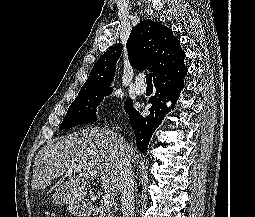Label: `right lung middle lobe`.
<instances>
[{
	"label": "right lung middle lobe",
	"instance_id": "dd1d6c3e",
	"mask_svg": "<svg viewBox=\"0 0 255 217\" xmlns=\"http://www.w3.org/2000/svg\"><path fill=\"white\" fill-rule=\"evenodd\" d=\"M112 91L111 89L94 93H79L70 105L59 129H68L79 124L96 122L97 106L103 101L104 97L110 95ZM124 108L126 112L129 113L133 109V102L131 100H126Z\"/></svg>",
	"mask_w": 255,
	"mask_h": 217
}]
</instances>
